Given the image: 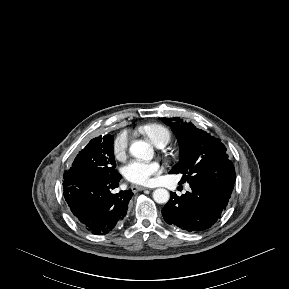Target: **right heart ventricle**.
Here are the masks:
<instances>
[{"label": "right heart ventricle", "instance_id": "1", "mask_svg": "<svg viewBox=\"0 0 289 289\" xmlns=\"http://www.w3.org/2000/svg\"><path fill=\"white\" fill-rule=\"evenodd\" d=\"M141 132L157 147H164L171 140L170 131L161 124L145 125L141 128Z\"/></svg>", "mask_w": 289, "mask_h": 289}]
</instances>
